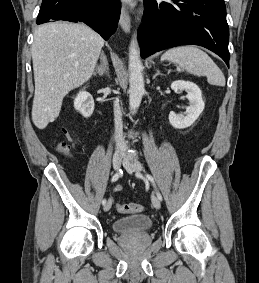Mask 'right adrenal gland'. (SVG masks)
<instances>
[{
  "label": "right adrenal gland",
  "mask_w": 259,
  "mask_h": 283,
  "mask_svg": "<svg viewBox=\"0 0 259 283\" xmlns=\"http://www.w3.org/2000/svg\"><path fill=\"white\" fill-rule=\"evenodd\" d=\"M100 60H101V64L96 66V70L94 72V75H99V76H104L105 75V70L106 68H108V62L106 59V55L104 54V52L102 51L100 54Z\"/></svg>",
  "instance_id": "obj_1"
}]
</instances>
